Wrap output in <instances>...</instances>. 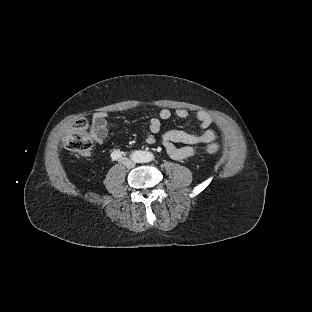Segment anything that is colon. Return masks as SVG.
<instances>
[{"mask_svg":"<svg viewBox=\"0 0 312 312\" xmlns=\"http://www.w3.org/2000/svg\"><path fill=\"white\" fill-rule=\"evenodd\" d=\"M72 126L75 131L67 135L65 140L68 150L80 155L88 154L95 143L94 138L87 131L89 126L88 120L82 116L76 117ZM205 149L207 153L214 154L219 151V145L209 143Z\"/></svg>","mask_w":312,"mask_h":312,"instance_id":"1","label":"colon"}]
</instances>
